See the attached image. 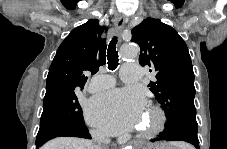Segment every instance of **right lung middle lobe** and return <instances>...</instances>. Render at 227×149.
<instances>
[{"mask_svg":"<svg viewBox=\"0 0 227 149\" xmlns=\"http://www.w3.org/2000/svg\"><path fill=\"white\" fill-rule=\"evenodd\" d=\"M77 92L78 88L68 87L46 90L40 127L84 124Z\"/></svg>","mask_w":227,"mask_h":149,"instance_id":"right-lung-middle-lobe-1","label":"right lung middle lobe"}]
</instances>
